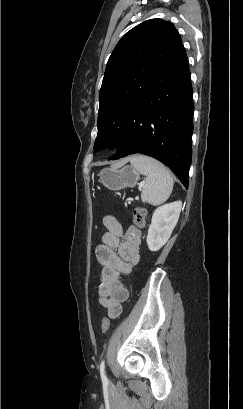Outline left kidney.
Listing matches in <instances>:
<instances>
[{"instance_id": "obj_1", "label": "left kidney", "mask_w": 243, "mask_h": 409, "mask_svg": "<svg viewBox=\"0 0 243 409\" xmlns=\"http://www.w3.org/2000/svg\"><path fill=\"white\" fill-rule=\"evenodd\" d=\"M181 207L182 202L176 201L156 208L146 238L150 251H158L166 244L178 222Z\"/></svg>"}]
</instances>
